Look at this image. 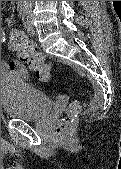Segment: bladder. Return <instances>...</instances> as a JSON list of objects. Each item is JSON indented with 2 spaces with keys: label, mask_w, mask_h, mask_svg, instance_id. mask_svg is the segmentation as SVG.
<instances>
[{
  "label": "bladder",
  "mask_w": 121,
  "mask_h": 169,
  "mask_svg": "<svg viewBox=\"0 0 121 169\" xmlns=\"http://www.w3.org/2000/svg\"><path fill=\"white\" fill-rule=\"evenodd\" d=\"M1 104L6 115L25 121L39 120L53 107L49 96L12 73L1 76Z\"/></svg>",
  "instance_id": "1"
}]
</instances>
